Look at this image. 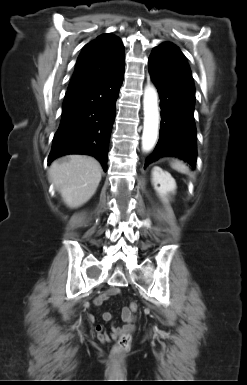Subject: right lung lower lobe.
<instances>
[{
    "mask_svg": "<svg viewBox=\"0 0 247 385\" xmlns=\"http://www.w3.org/2000/svg\"><path fill=\"white\" fill-rule=\"evenodd\" d=\"M123 77L124 66L67 90L48 163L62 155L86 154L96 157L107 170L110 133Z\"/></svg>",
    "mask_w": 247,
    "mask_h": 385,
    "instance_id": "1",
    "label": "right lung lower lobe"
}]
</instances>
